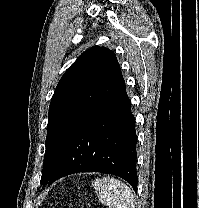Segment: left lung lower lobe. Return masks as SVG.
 <instances>
[{
	"mask_svg": "<svg viewBox=\"0 0 199 208\" xmlns=\"http://www.w3.org/2000/svg\"><path fill=\"white\" fill-rule=\"evenodd\" d=\"M134 123L123 81L74 132L47 183L73 173L101 172L122 177L137 191Z\"/></svg>",
	"mask_w": 199,
	"mask_h": 208,
	"instance_id": "obj_1",
	"label": "left lung lower lobe"
}]
</instances>
